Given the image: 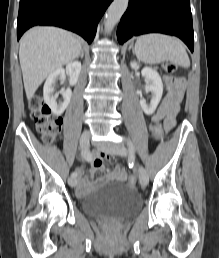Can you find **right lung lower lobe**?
I'll return each mask as SVG.
<instances>
[{
	"label": "right lung lower lobe",
	"instance_id": "1",
	"mask_svg": "<svg viewBox=\"0 0 219 258\" xmlns=\"http://www.w3.org/2000/svg\"><path fill=\"white\" fill-rule=\"evenodd\" d=\"M112 0H20L17 39L35 25L58 26L81 35L89 44Z\"/></svg>",
	"mask_w": 219,
	"mask_h": 258
}]
</instances>
